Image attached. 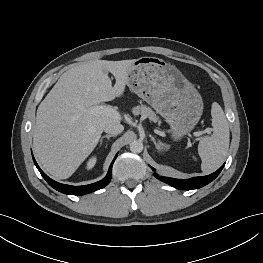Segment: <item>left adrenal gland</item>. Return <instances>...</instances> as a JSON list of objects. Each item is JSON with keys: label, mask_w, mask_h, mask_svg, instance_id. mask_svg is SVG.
<instances>
[{"label": "left adrenal gland", "mask_w": 263, "mask_h": 263, "mask_svg": "<svg viewBox=\"0 0 263 263\" xmlns=\"http://www.w3.org/2000/svg\"><path fill=\"white\" fill-rule=\"evenodd\" d=\"M151 140L153 141L155 148L159 151H163L167 146L162 143L160 140L157 142L153 136H150Z\"/></svg>", "instance_id": "a2214340"}]
</instances>
